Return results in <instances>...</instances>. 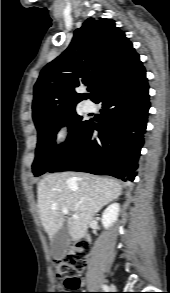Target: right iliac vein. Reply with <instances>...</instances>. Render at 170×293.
Segmentation results:
<instances>
[{
  "label": "right iliac vein",
  "instance_id": "63e3f726",
  "mask_svg": "<svg viewBox=\"0 0 170 293\" xmlns=\"http://www.w3.org/2000/svg\"><path fill=\"white\" fill-rule=\"evenodd\" d=\"M110 289H112V290H113V289H115V287H114L113 285H111Z\"/></svg>",
  "mask_w": 170,
  "mask_h": 293
}]
</instances>
